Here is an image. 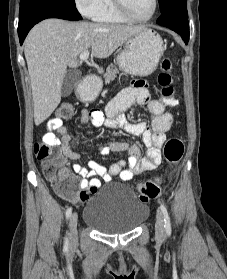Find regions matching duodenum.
Wrapping results in <instances>:
<instances>
[{
  "label": "duodenum",
  "instance_id": "duodenum-1",
  "mask_svg": "<svg viewBox=\"0 0 227 279\" xmlns=\"http://www.w3.org/2000/svg\"><path fill=\"white\" fill-rule=\"evenodd\" d=\"M76 98H77L78 101H80L82 103H91V100L86 98V93H85V90L83 88H80V89L77 90Z\"/></svg>",
  "mask_w": 227,
  "mask_h": 279
}]
</instances>
